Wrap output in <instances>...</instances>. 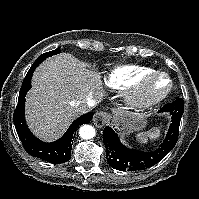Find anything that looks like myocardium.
Instances as JSON below:
<instances>
[{
  "label": "myocardium",
  "mask_w": 199,
  "mask_h": 199,
  "mask_svg": "<svg viewBox=\"0 0 199 199\" xmlns=\"http://www.w3.org/2000/svg\"><path fill=\"white\" fill-rule=\"evenodd\" d=\"M158 78L166 79L168 81V87L163 92L153 93L151 90V84ZM173 87L174 82L167 73L154 71L145 76L139 84L134 87L131 93V103L138 108L152 107L165 100L171 94Z\"/></svg>",
  "instance_id": "myocardium-1"
}]
</instances>
